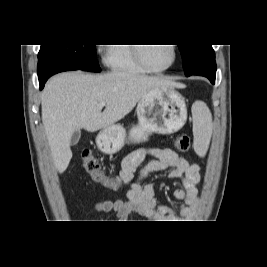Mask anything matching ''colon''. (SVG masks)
Returning <instances> with one entry per match:
<instances>
[{
	"instance_id": "5ec220e1",
	"label": "colon",
	"mask_w": 267,
	"mask_h": 267,
	"mask_svg": "<svg viewBox=\"0 0 267 267\" xmlns=\"http://www.w3.org/2000/svg\"><path fill=\"white\" fill-rule=\"evenodd\" d=\"M175 147L181 152H186L190 148V138L187 134H179L175 138ZM82 167L89 178L106 188L117 189L123 188L121 177H111L103 169L98 159L94 156L91 150L84 149L82 151Z\"/></svg>"
}]
</instances>
